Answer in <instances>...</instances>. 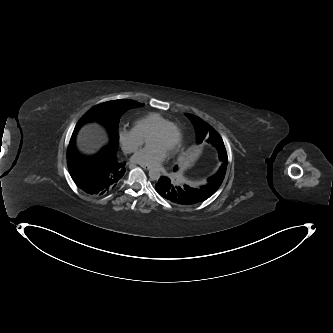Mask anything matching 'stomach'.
I'll list each match as a JSON object with an SVG mask.
<instances>
[{"instance_id": "1", "label": "stomach", "mask_w": 333, "mask_h": 333, "mask_svg": "<svg viewBox=\"0 0 333 333\" xmlns=\"http://www.w3.org/2000/svg\"><path fill=\"white\" fill-rule=\"evenodd\" d=\"M206 158V151L197 143H190L186 150L176 159V164L170 168V175L174 179H181L188 173L198 169V162Z\"/></svg>"}]
</instances>
